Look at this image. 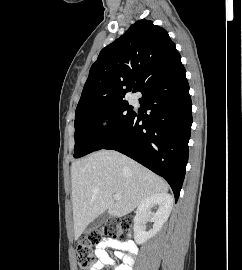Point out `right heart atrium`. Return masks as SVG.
Wrapping results in <instances>:
<instances>
[{
    "mask_svg": "<svg viewBox=\"0 0 242 270\" xmlns=\"http://www.w3.org/2000/svg\"><path fill=\"white\" fill-rule=\"evenodd\" d=\"M111 126V117L108 115H104L101 119V127L103 129H108Z\"/></svg>",
    "mask_w": 242,
    "mask_h": 270,
    "instance_id": "1",
    "label": "right heart atrium"
}]
</instances>
